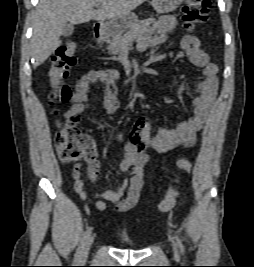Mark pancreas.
I'll use <instances>...</instances> for the list:
<instances>
[{"label":"pancreas","mask_w":254,"mask_h":267,"mask_svg":"<svg viewBox=\"0 0 254 267\" xmlns=\"http://www.w3.org/2000/svg\"><path fill=\"white\" fill-rule=\"evenodd\" d=\"M150 20L138 21L123 36L114 37L107 47L111 54H118L133 41L142 38L150 29Z\"/></svg>","instance_id":"cf45deb5"}]
</instances>
